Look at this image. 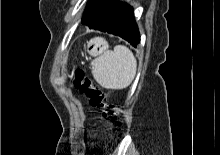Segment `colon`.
<instances>
[{
	"instance_id": "obj_1",
	"label": "colon",
	"mask_w": 220,
	"mask_h": 155,
	"mask_svg": "<svg viewBox=\"0 0 220 155\" xmlns=\"http://www.w3.org/2000/svg\"><path fill=\"white\" fill-rule=\"evenodd\" d=\"M73 85L77 90L87 96L89 104L92 107L102 110L104 119L113 122L112 113L107 109L108 105L102 89L93 83L81 69L75 70Z\"/></svg>"
}]
</instances>
